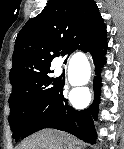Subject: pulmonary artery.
<instances>
[{
  "instance_id": "e3ab8cb5",
  "label": "pulmonary artery",
  "mask_w": 124,
  "mask_h": 149,
  "mask_svg": "<svg viewBox=\"0 0 124 149\" xmlns=\"http://www.w3.org/2000/svg\"><path fill=\"white\" fill-rule=\"evenodd\" d=\"M56 74H57V75H59V74H60V72H59V71H57V72H56Z\"/></svg>"
}]
</instances>
